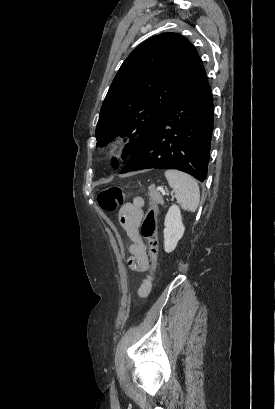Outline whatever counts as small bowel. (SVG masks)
Listing matches in <instances>:
<instances>
[{
	"label": "small bowel",
	"instance_id": "1",
	"mask_svg": "<svg viewBox=\"0 0 275 409\" xmlns=\"http://www.w3.org/2000/svg\"><path fill=\"white\" fill-rule=\"evenodd\" d=\"M145 201L142 197H135L131 202L126 203L119 212L120 223L128 235V250L130 257L128 264L136 272H144L150 268V261L147 253V247L139 233V227L144 216ZM148 286V280H145L138 294L143 296V291Z\"/></svg>",
	"mask_w": 275,
	"mask_h": 409
}]
</instances>
